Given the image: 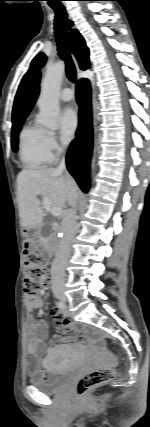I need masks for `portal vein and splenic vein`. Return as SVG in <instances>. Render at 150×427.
Wrapping results in <instances>:
<instances>
[{
  "instance_id": "18ae733b",
  "label": "portal vein and splenic vein",
  "mask_w": 150,
  "mask_h": 427,
  "mask_svg": "<svg viewBox=\"0 0 150 427\" xmlns=\"http://www.w3.org/2000/svg\"><path fill=\"white\" fill-rule=\"evenodd\" d=\"M43 206L46 211L50 212L53 216L57 217L62 214V209L59 207H51L47 197H43Z\"/></svg>"
}]
</instances>
